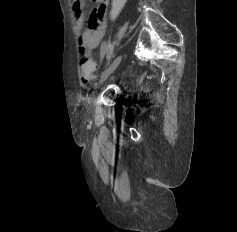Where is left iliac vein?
Segmentation results:
<instances>
[{"mask_svg":"<svg viewBox=\"0 0 237 232\" xmlns=\"http://www.w3.org/2000/svg\"><path fill=\"white\" fill-rule=\"evenodd\" d=\"M122 60V55H119L112 63L111 65L102 73L99 84H102L118 67Z\"/></svg>","mask_w":237,"mask_h":232,"instance_id":"left-iliac-vein-1","label":"left iliac vein"}]
</instances>
